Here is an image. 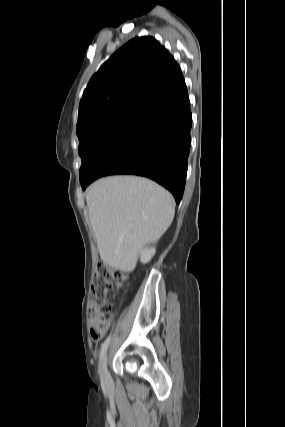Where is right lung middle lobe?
I'll return each mask as SVG.
<instances>
[{"instance_id": "obj_1", "label": "right lung middle lobe", "mask_w": 285, "mask_h": 427, "mask_svg": "<svg viewBox=\"0 0 285 427\" xmlns=\"http://www.w3.org/2000/svg\"><path fill=\"white\" fill-rule=\"evenodd\" d=\"M144 106H127L107 115L98 117L77 130L79 155L82 159L80 182L87 181L98 164L115 146Z\"/></svg>"}]
</instances>
